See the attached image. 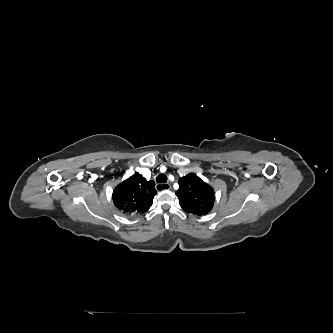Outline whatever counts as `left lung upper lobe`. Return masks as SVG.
Segmentation results:
<instances>
[{
	"label": "left lung upper lobe",
	"mask_w": 333,
	"mask_h": 333,
	"mask_svg": "<svg viewBox=\"0 0 333 333\" xmlns=\"http://www.w3.org/2000/svg\"><path fill=\"white\" fill-rule=\"evenodd\" d=\"M175 194L186 212L204 215L213 207V188L193 173L179 179V189Z\"/></svg>",
	"instance_id": "1"
}]
</instances>
